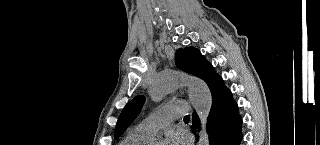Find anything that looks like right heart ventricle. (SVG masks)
Listing matches in <instances>:
<instances>
[{
    "instance_id": "right-heart-ventricle-1",
    "label": "right heart ventricle",
    "mask_w": 320,
    "mask_h": 145,
    "mask_svg": "<svg viewBox=\"0 0 320 145\" xmlns=\"http://www.w3.org/2000/svg\"><path fill=\"white\" fill-rule=\"evenodd\" d=\"M149 139V137L139 133L138 131L132 130L123 138L120 145H145Z\"/></svg>"
}]
</instances>
